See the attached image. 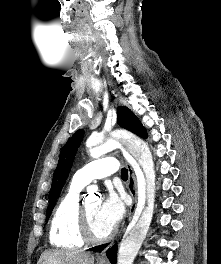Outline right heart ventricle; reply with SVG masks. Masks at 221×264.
<instances>
[{"instance_id":"e07e8e85","label":"right heart ventricle","mask_w":221,"mask_h":264,"mask_svg":"<svg viewBox=\"0 0 221 264\" xmlns=\"http://www.w3.org/2000/svg\"><path fill=\"white\" fill-rule=\"evenodd\" d=\"M82 189V185L72 181L57 204L49 233L50 242L55 247L77 249L81 248L85 243L79 235L77 225Z\"/></svg>"}]
</instances>
